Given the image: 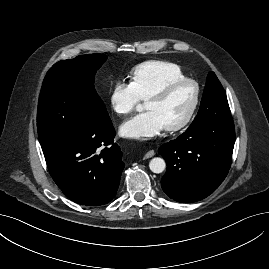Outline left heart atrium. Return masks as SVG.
<instances>
[{
    "label": "left heart atrium",
    "instance_id": "obj_1",
    "mask_svg": "<svg viewBox=\"0 0 269 269\" xmlns=\"http://www.w3.org/2000/svg\"><path fill=\"white\" fill-rule=\"evenodd\" d=\"M165 129L161 118L152 111L138 114L124 122L120 127L122 136L132 139H149L159 135Z\"/></svg>",
    "mask_w": 269,
    "mask_h": 269
}]
</instances>
